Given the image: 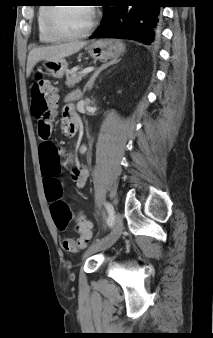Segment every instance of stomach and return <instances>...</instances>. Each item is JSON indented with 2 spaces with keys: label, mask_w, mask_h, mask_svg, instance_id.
I'll return each instance as SVG.
<instances>
[{
  "label": "stomach",
  "mask_w": 213,
  "mask_h": 338,
  "mask_svg": "<svg viewBox=\"0 0 213 338\" xmlns=\"http://www.w3.org/2000/svg\"><path fill=\"white\" fill-rule=\"evenodd\" d=\"M86 50L95 60H108L119 57L125 51V46L119 40L99 39L88 44ZM43 66L49 75L58 79L63 77L68 63L65 59L44 60Z\"/></svg>",
  "instance_id": "0dacf381"
}]
</instances>
